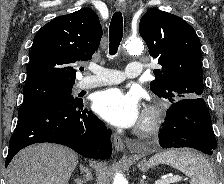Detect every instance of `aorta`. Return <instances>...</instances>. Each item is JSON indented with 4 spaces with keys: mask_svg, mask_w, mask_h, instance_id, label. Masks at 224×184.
<instances>
[{
    "mask_svg": "<svg viewBox=\"0 0 224 184\" xmlns=\"http://www.w3.org/2000/svg\"><path fill=\"white\" fill-rule=\"evenodd\" d=\"M123 47L129 53H140L143 50V42L138 38H130L128 39ZM113 184H127L126 179L123 177L121 173H116L113 179Z\"/></svg>",
    "mask_w": 224,
    "mask_h": 184,
    "instance_id": "1",
    "label": "aorta"
}]
</instances>
